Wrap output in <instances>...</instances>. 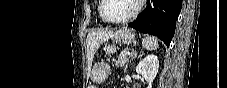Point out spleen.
<instances>
[{"mask_svg":"<svg viewBox=\"0 0 227 88\" xmlns=\"http://www.w3.org/2000/svg\"><path fill=\"white\" fill-rule=\"evenodd\" d=\"M142 46L147 50H156L159 47V44L155 37L146 36L142 40Z\"/></svg>","mask_w":227,"mask_h":88,"instance_id":"spleen-1","label":"spleen"}]
</instances>
